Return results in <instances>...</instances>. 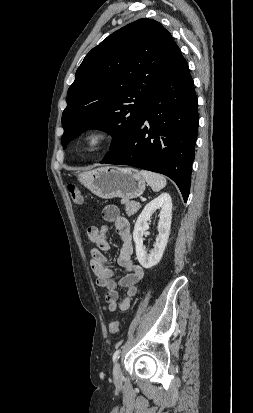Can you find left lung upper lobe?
<instances>
[{
	"mask_svg": "<svg viewBox=\"0 0 253 413\" xmlns=\"http://www.w3.org/2000/svg\"><path fill=\"white\" fill-rule=\"evenodd\" d=\"M179 50L171 34L159 22L147 18L126 25L93 48L67 92L62 114L63 148L91 128L113 136L102 161L125 148Z\"/></svg>",
	"mask_w": 253,
	"mask_h": 413,
	"instance_id": "left-lung-upper-lobe-1",
	"label": "left lung upper lobe"
}]
</instances>
